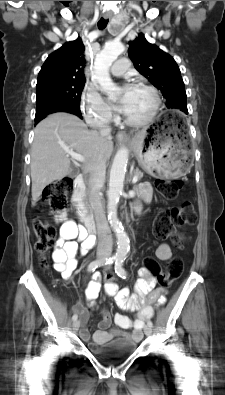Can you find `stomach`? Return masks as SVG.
Returning a JSON list of instances; mask_svg holds the SVG:
<instances>
[{"instance_id":"0dacf381","label":"stomach","mask_w":225,"mask_h":395,"mask_svg":"<svg viewBox=\"0 0 225 395\" xmlns=\"http://www.w3.org/2000/svg\"><path fill=\"white\" fill-rule=\"evenodd\" d=\"M178 123L164 112L131 140L139 165L150 174L178 178L189 168L188 142Z\"/></svg>"}]
</instances>
